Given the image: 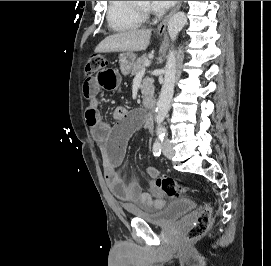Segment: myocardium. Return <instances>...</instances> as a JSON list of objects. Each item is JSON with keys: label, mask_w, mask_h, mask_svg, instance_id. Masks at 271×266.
Instances as JSON below:
<instances>
[{"label": "myocardium", "mask_w": 271, "mask_h": 266, "mask_svg": "<svg viewBox=\"0 0 271 266\" xmlns=\"http://www.w3.org/2000/svg\"><path fill=\"white\" fill-rule=\"evenodd\" d=\"M132 2V1H131ZM133 10L139 14L143 19L148 18L151 11L149 8H142L137 6L135 3H131Z\"/></svg>", "instance_id": "1"}]
</instances>
